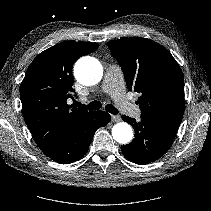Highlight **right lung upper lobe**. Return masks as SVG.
<instances>
[{
  "label": "right lung upper lobe",
  "mask_w": 211,
  "mask_h": 211,
  "mask_svg": "<svg viewBox=\"0 0 211 211\" xmlns=\"http://www.w3.org/2000/svg\"><path fill=\"white\" fill-rule=\"evenodd\" d=\"M99 45L91 42H63L41 52L28 68L20 85L22 110L36 144L45 152L90 111L67 104L74 92L72 67Z\"/></svg>",
  "instance_id": "1"
}]
</instances>
